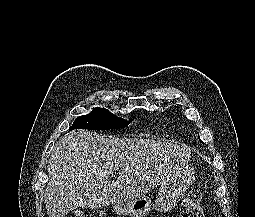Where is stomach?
Listing matches in <instances>:
<instances>
[{
  "mask_svg": "<svg viewBox=\"0 0 255 217\" xmlns=\"http://www.w3.org/2000/svg\"><path fill=\"white\" fill-rule=\"evenodd\" d=\"M195 178L194 170L185 165L160 182L159 193L153 204L147 196L114 204L113 210L126 217H145L152 209L161 212L172 210L184 197Z\"/></svg>",
  "mask_w": 255,
  "mask_h": 217,
  "instance_id": "obj_1",
  "label": "stomach"
}]
</instances>
